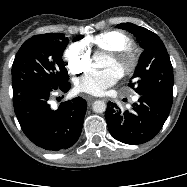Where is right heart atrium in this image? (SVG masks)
Wrapping results in <instances>:
<instances>
[{
	"label": "right heart atrium",
	"mask_w": 187,
	"mask_h": 187,
	"mask_svg": "<svg viewBox=\"0 0 187 187\" xmlns=\"http://www.w3.org/2000/svg\"><path fill=\"white\" fill-rule=\"evenodd\" d=\"M65 60L68 69L73 74L84 72L91 63V49L86 41L71 44L65 51Z\"/></svg>",
	"instance_id": "right-heart-atrium-1"
}]
</instances>
